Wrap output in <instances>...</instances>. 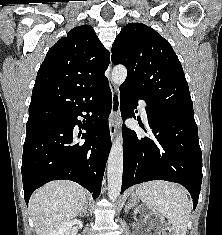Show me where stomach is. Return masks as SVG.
<instances>
[{
	"label": "stomach",
	"instance_id": "0dacf381",
	"mask_svg": "<svg viewBox=\"0 0 222 235\" xmlns=\"http://www.w3.org/2000/svg\"><path fill=\"white\" fill-rule=\"evenodd\" d=\"M137 200V197H136V195L135 194H132V196H131V201H136Z\"/></svg>",
	"mask_w": 222,
	"mask_h": 235
}]
</instances>
